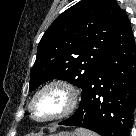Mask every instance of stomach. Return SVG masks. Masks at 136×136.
<instances>
[{"label":"stomach","mask_w":136,"mask_h":136,"mask_svg":"<svg viewBox=\"0 0 136 136\" xmlns=\"http://www.w3.org/2000/svg\"><path fill=\"white\" fill-rule=\"evenodd\" d=\"M53 136H74V135L69 132H61Z\"/></svg>","instance_id":"1"}]
</instances>
